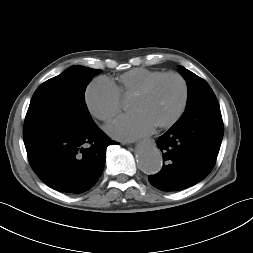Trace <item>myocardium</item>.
Instances as JSON below:
<instances>
[{
  "mask_svg": "<svg viewBox=\"0 0 253 253\" xmlns=\"http://www.w3.org/2000/svg\"><path fill=\"white\" fill-rule=\"evenodd\" d=\"M166 78H175L181 83L182 99H181V103H180L177 111L175 112V114L166 122L161 123L156 126L159 129L170 128L183 115V113L187 107V103H188V99H189V86H188L187 80L181 74H179L177 72H166V73H163V74L153 78L152 80H150L133 96V99L134 98H142V97L146 96L153 89V87L156 84H158L160 81H162L163 79H166Z\"/></svg>",
  "mask_w": 253,
  "mask_h": 253,
  "instance_id": "myocardium-1",
  "label": "myocardium"
}]
</instances>
